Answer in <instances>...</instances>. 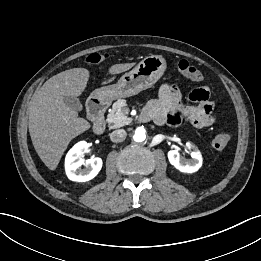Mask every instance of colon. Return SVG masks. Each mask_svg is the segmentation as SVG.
<instances>
[{"mask_svg":"<svg viewBox=\"0 0 261 261\" xmlns=\"http://www.w3.org/2000/svg\"><path fill=\"white\" fill-rule=\"evenodd\" d=\"M107 55L101 53H91L86 57V62L89 64H99ZM176 67L180 73H182L188 79L198 82L203 79V74L196 67L192 66L186 60H179L176 62ZM230 142V135L227 133H221L214 137L212 146L216 150H223Z\"/></svg>","mask_w":261,"mask_h":261,"instance_id":"obj_1","label":"colon"}]
</instances>
